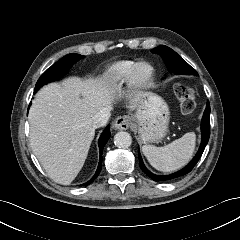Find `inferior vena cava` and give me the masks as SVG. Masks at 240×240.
Listing matches in <instances>:
<instances>
[{
  "mask_svg": "<svg viewBox=\"0 0 240 240\" xmlns=\"http://www.w3.org/2000/svg\"><path fill=\"white\" fill-rule=\"evenodd\" d=\"M110 109L108 108H102L99 112H97L93 119H92V123H93V127L94 128H99L102 126H105L107 121L110 118Z\"/></svg>",
  "mask_w": 240,
  "mask_h": 240,
  "instance_id": "obj_1",
  "label": "inferior vena cava"
}]
</instances>
